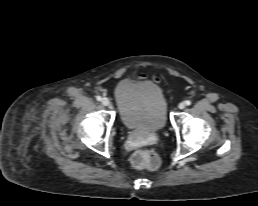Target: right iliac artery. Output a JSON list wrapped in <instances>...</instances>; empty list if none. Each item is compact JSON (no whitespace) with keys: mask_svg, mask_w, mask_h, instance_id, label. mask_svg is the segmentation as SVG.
I'll list each match as a JSON object with an SVG mask.
<instances>
[{"mask_svg":"<svg viewBox=\"0 0 258 206\" xmlns=\"http://www.w3.org/2000/svg\"><path fill=\"white\" fill-rule=\"evenodd\" d=\"M101 96H96V100L101 101Z\"/></svg>","mask_w":258,"mask_h":206,"instance_id":"1","label":"right iliac artery"}]
</instances>
